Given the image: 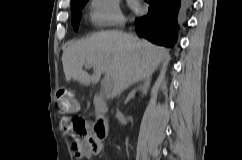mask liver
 <instances>
[{"label": "liver", "mask_w": 242, "mask_h": 160, "mask_svg": "<svg viewBox=\"0 0 242 160\" xmlns=\"http://www.w3.org/2000/svg\"><path fill=\"white\" fill-rule=\"evenodd\" d=\"M168 51L146 40L117 31L93 34L68 45L62 55L65 79L77 80L84 85L97 84L101 74L110 76L113 83L111 96L118 94L123 79V89L137 81L150 79L158 64L168 57ZM91 65L92 75L83 70ZM137 68V73H130Z\"/></svg>", "instance_id": "1"}]
</instances>
